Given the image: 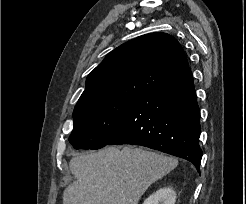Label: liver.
<instances>
[{"label": "liver", "instance_id": "liver-1", "mask_svg": "<svg viewBox=\"0 0 246 204\" xmlns=\"http://www.w3.org/2000/svg\"><path fill=\"white\" fill-rule=\"evenodd\" d=\"M178 165L163 154L110 146L74 157L75 181L63 192V204H138L148 187Z\"/></svg>", "mask_w": 246, "mask_h": 204}]
</instances>
